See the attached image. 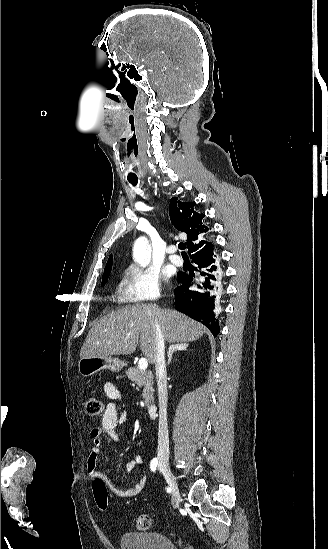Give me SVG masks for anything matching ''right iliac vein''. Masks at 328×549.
I'll list each match as a JSON object with an SVG mask.
<instances>
[{
    "label": "right iliac vein",
    "mask_w": 328,
    "mask_h": 549,
    "mask_svg": "<svg viewBox=\"0 0 328 549\" xmlns=\"http://www.w3.org/2000/svg\"><path fill=\"white\" fill-rule=\"evenodd\" d=\"M159 468H160V471L163 473L167 483L170 486L171 492L176 502V506L178 507L181 499V494L178 489V485L175 480V477L168 467L167 461L159 460Z\"/></svg>",
    "instance_id": "1"
}]
</instances>
